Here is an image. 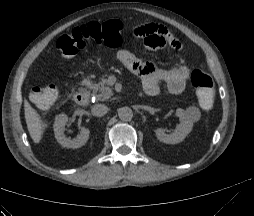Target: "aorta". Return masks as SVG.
<instances>
[{"instance_id":"762f6f07","label":"aorta","mask_w":254,"mask_h":216,"mask_svg":"<svg viewBox=\"0 0 254 216\" xmlns=\"http://www.w3.org/2000/svg\"><path fill=\"white\" fill-rule=\"evenodd\" d=\"M118 116L122 121H130L133 118V111L130 107H121Z\"/></svg>"}]
</instances>
